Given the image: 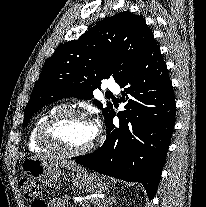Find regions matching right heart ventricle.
<instances>
[{
	"label": "right heart ventricle",
	"instance_id": "1",
	"mask_svg": "<svg viewBox=\"0 0 206 207\" xmlns=\"http://www.w3.org/2000/svg\"><path fill=\"white\" fill-rule=\"evenodd\" d=\"M59 110H62V108L60 106H55V107L48 109L47 111L43 112L42 114H40L38 116V118L34 122L33 126L31 127L29 135H28V148L30 151H32V152H46L48 150L38 144L37 138H36L37 130H38L39 126L41 125V123L46 118H48L50 115H52L53 113H55Z\"/></svg>",
	"mask_w": 206,
	"mask_h": 207
}]
</instances>
